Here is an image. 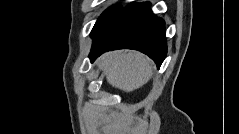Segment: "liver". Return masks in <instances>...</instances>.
Wrapping results in <instances>:
<instances>
[{
  "mask_svg": "<svg viewBox=\"0 0 239 134\" xmlns=\"http://www.w3.org/2000/svg\"><path fill=\"white\" fill-rule=\"evenodd\" d=\"M107 82L124 92H131L146 84L152 77V63L136 51H113L97 61Z\"/></svg>",
  "mask_w": 239,
  "mask_h": 134,
  "instance_id": "1",
  "label": "liver"
}]
</instances>
